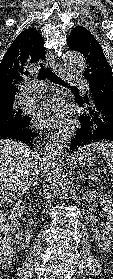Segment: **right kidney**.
Instances as JSON below:
<instances>
[{
	"label": "right kidney",
	"instance_id": "1",
	"mask_svg": "<svg viewBox=\"0 0 113 279\" xmlns=\"http://www.w3.org/2000/svg\"><path fill=\"white\" fill-rule=\"evenodd\" d=\"M24 206L21 204V201H18L14 204V206L10 209L9 220L11 230L14 238H15V246L17 248L25 249L29 246V242L31 240L32 229L31 226H27L25 231H20L18 219L24 214Z\"/></svg>",
	"mask_w": 113,
	"mask_h": 279
}]
</instances>
